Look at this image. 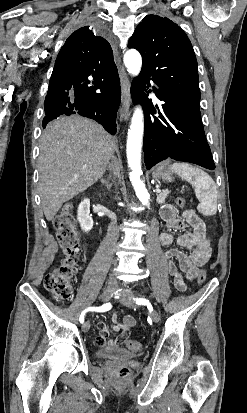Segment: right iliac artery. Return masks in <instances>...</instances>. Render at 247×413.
<instances>
[{
    "instance_id": "1",
    "label": "right iliac artery",
    "mask_w": 247,
    "mask_h": 413,
    "mask_svg": "<svg viewBox=\"0 0 247 413\" xmlns=\"http://www.w3.org/2000/svg\"><path fill=\"white\" fill-rule=\"evenodd\" d=\"M111 307H112L111 303L103 304L101 307H88L84 311H82V313L80 315V318H79V321H80V323L84 322L85 313L88 312V311L105 312V311L111 309Z\"/></svg>"
}]
</instances>
